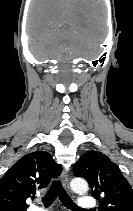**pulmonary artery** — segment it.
<instances>
[{
  "label": "pulmonary artery",
  "mask_w": 133,
  "mask_h": 211,
  "mask_svg": "<svg viewBox=\"0 0 133 211\" xmlns=\"http://www.w3.org/2000/svg\"><path fill=\"white\" fill-rule=\"evenodd\" d=\"M79 206L83 210H92L96 206V202L90 196H82L79 199ZM31 211H44V210L41 208H34Z\"/></svg>",
  "instance_id": "e3ab8cb5"
}]
</instances>
